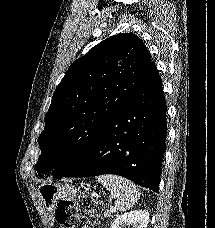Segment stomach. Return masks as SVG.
Listing matches in <instances>:
<instances>
[{
    "label": "stomach",
    "instance_id": "0dacf381",
    "mask_svg": "<svg viewBox=\"0 0 215 228\" xmlns=\"http://www.w3.org/2000/svg\"><path fill=\"white\" fill-rule=\"evenodd\" d=\"M39 196L49 214L52 224L57 222L56 214L58 210V202L60 200H72L80 192V188H74L71 184H51V182H43L38 188Z\"/></svg>",
    "mask_w": 215,
    "mask_h": 228
}]
</instances>
